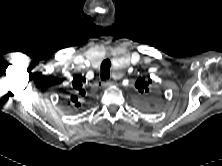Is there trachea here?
I'll return each instance as SVG.
<instances>
[{
  "mask_svg": "<svg viewBox=\"0 0 222 166\" xmlns=\"http://www.w3.org/2000/svg\"><path fill=\"white\" fill-rule=\"evenodd\" d=\"M111 62L109 59H105L101 64V80H107L110 77Z\"/></svg>",
  "mask_w": 222,
  "mask_h": 166,
  "instance_id": "3493384b",
  "label": "trachea"
}]
</instances>
